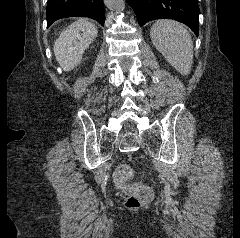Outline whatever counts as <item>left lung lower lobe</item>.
<instances>
[{
  "mask_svg": "<svg viewBox=\"0 0 240 238\" xmlns=\"http://www.w3.org/2000/svg\"><path fill=\"white\" fill-rule=\"evenodd\" d=\"M140 26L154 19H174L186 24L198 36L197 0H127Z\"/></svg>",
  "mask_w": 240,
  "mask_h": 238,
  "instance_id": "0a47b994",
  "label": "left lung lower lobe"
}]
</instances>
